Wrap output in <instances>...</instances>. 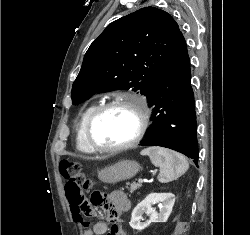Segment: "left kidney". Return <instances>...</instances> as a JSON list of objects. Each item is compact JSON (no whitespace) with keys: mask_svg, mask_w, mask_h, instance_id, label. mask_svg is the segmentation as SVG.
<instances>
[{"mask_svg":"<svg viewBox=\"0 0 250 235\" xmlns=\"http://www.w3.org/2000/svg\"><path fill=\"white\" fill-rule=\"evenodd\" d=\"M159 203V213L152 208V205ZM175 203V195L172 193H151L141 201L133 210L130 221L131 228L142 231L152 222H166L172 212ZM146 213L150 219L147 222H140L142 215Z\"/></svg>","mask_w":250,"mask_h":235,"instance_id":"obj_1","label":"left kidney"}]
</instances>
